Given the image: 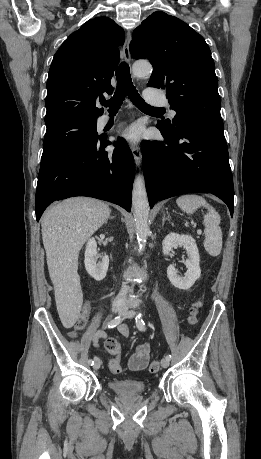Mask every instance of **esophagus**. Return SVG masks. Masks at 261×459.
I'll return each mask as SVG.
<instances>
[{
  "mask_svg": "<svg viewBox=\"0 0 261 459\" xmlns=\"http://www.w3.org/2000/svg\"><path fill=\"white\" fill-rule=\"evenodd\" d=\"M131 39H132L131 31H128L122 51H121L122 57L127 63H130L131 61V55H130V49H129ZM131 151H132L136 166H139L141 163V159H142L140 146L137 144H133L131 146Z\"/></svg>",
  "mask_w": 261,
  "mask_h": 459,
  "instance_id": "esophagus-1",
  "label": "esophagus"
}]
</instances>
